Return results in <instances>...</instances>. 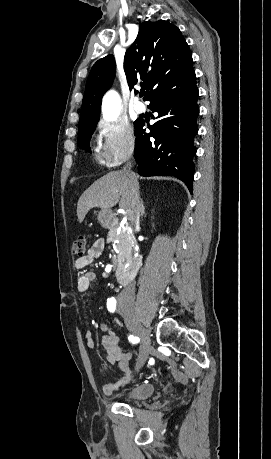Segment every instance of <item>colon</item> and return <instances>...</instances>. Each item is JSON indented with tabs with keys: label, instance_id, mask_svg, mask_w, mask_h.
<instances>
[{
	"label": "colon",
	"instance_id": "1",
	"mask_svg": "<svg viewBox=\"0 0 271 459\" xmlns=\"http://www.w3.org/2000/svg\"><path fill=\"white\" fill-rule=\"evenodd\" d=\"M86 248V238L83 235L78 236L72 243V252L75 255L82 256Z\"/></svg>",
	"mask_w": 271,
	"mask_h": 459
}]
</instances>
